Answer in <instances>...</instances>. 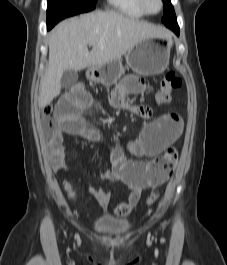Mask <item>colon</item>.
Wrapping results in <instances>:
<instances>
[{"label":"colon","mask_w":227,"mask_h":265,"mask_svg":"<svg viewBox=\"0 0 227 265\" xmlns=\"http://www.w3.org/2000/svg\"><path fill=\"white\" fill-rule=\"evenodd\" d=\"M182 84L181 79L174 73L168 72L160 82L159 90L156 94V100L160 104H167L172 99L173 90L179 88ZM71 87H83L81 84H75ZM51 107H46L44 109V115L49 116L51 114ZM142 114L149 115L150 109L145 108L141 110ZM54 129L53 123L51 120L48 121V131L51 134ZM177 160V153L173 149H169L164 155L157 158L156 168L160 173V179L165 180L169 177L170 173L173 171ZM157 194L152 193L148 199L147 204H152L157 199Z\"/></svg>","instance_id":"1"}]
</instances>
